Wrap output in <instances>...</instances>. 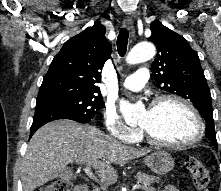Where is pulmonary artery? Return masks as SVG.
<instances>
[{
    "label": "pulmonary artery",
    "instance_id": "1",
    "mask_svg": "<svg viewBox=\"0 0 221 191\" xmlns=\"http://www.w3.org/2000/svg\"><path fill=\"white\" fill-rule=\"evenodd\" d=\"M149 78V72L147 68H139L136 72L127 77L122 86L124 89L130 91H139L144 88Z\"/></svg>",
    "mask_w": 221,
    "mask_h": 191
}]
</instances>
